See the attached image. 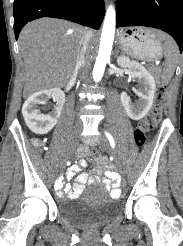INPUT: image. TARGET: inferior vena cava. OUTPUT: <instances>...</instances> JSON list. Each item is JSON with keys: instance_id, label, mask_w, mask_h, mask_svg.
<instances>
[{"instance_id": "inferior-vena-cava-1", "label": "inferior vena cava", "mask_w": 183, "mask_h": 246, "mask_svg": "<svg viewBox=\"0 0 183 246\" xmlns=\"http://www.w3.org/2000/svg\"><path fill=\"white\" fill-rule=\"evenodd\" d=\"M90 39H91V34L89 32H85L80 41V47L77 53L75 71H77L85 63V55L87 53Z\"/></svg>"}]
</instances>
